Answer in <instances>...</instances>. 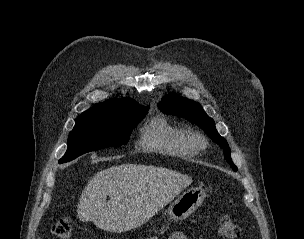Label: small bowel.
<instances>
[{"label": "small bowel", "mask_w": 304, "mask_h": 239, "mask_svg": "<svg viewBox=\"0 0 304 239\" xmlns=\"http://www.w3.org/2000/svg\"><path fill=\"white\" fill-rule=\"evenodd\" d=\"M168 239H188L187 236L180 231L172 233Z\"/></svg>", "instance_id": "obj_1"}]
</instances>
